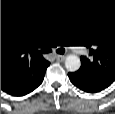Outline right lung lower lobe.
<instances>
[{
	"label": "right lung lower lobe",
	"mask_w": 115,
	"mask_h": 114,
	"mask_svg": "<svg viewBox=\"0 0 115 114\" xmlns=\"http://www.w3.org/2000/svg\"><path fill=\"white\" fill-rule=\"evenodd\" d=\"M47 68H45L41 73H39L30 84L27 86H22L14 90L10 91H4L12 96H23L30 92H32L34 89H36L42 82L45 76V71Z\"/></svg>",
	"instance_id": "98d812e1"
}]
</instances>
